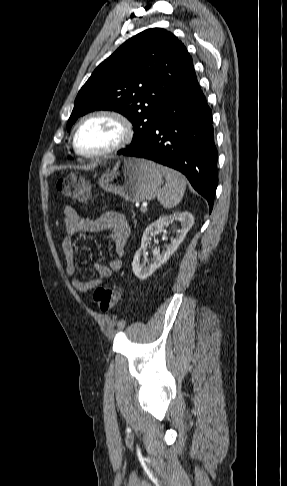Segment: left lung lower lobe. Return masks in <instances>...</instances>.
Returning a JSON list of instances; mask_svg holds the SVG:
<instances>
[{
	"label": "left lung lower lobe",
	"mask_w": 287,
	"mask_h": 486,
	"mask_svg": "<svg viewBox=\"0 0 287 486\" xmlns=\"http://www.w3.org/2000/svg\"><path fill=\"white\" fill-rule=\"evenodd\" d=\"M120 155L146 158L182 172L210 211L218 184L212 112L194 74L169 98L141 143Z\"/></svg>",
	"instance_id": "left-lung-lower-lobe-1"
}]
</instances>
